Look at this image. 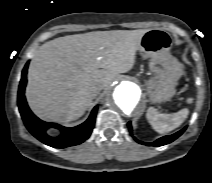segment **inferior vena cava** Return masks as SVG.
Returning a JSON list of instances; mask_svg holds the SVG:
<instances>
[{
	"instance_id": "602c4592",
	"label": "inferior vena cava",
	"mask_w": 212,
	"mask_h": 183,
	"mask_svg": "<svg viewBox=\"0 0 212 183\" xmlns=\"http://www.w3.org/2000/svg\"><path fill=\"white\" fill-rule=\"evenodd\" d=\"M103 88H104V85H103V84L97 85V86L95 87L96 93H99Z\"/></svg>"
}]
</instances>
